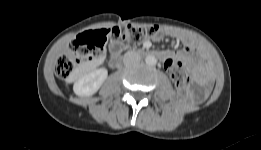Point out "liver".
I'll list each match as a JSON object with an SVG mask.
<instances>
[{"instance_id":"6515ba94","label":"liver","mask_w":261,"mask_h":150,"mask_svg":"<svg viewBox=\"0 0 261 150\" xmlns=\"http://www.w3.org/2000/svg\"><path fill=\"white\" fill-rule=\"evenodd\" d=\"M101 62H102L101 60H95V61L83 63L80 68L81 73H86V72L90 71L92 68L99 65Z\"/></svg>"}]
</instances>
